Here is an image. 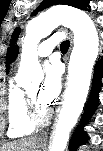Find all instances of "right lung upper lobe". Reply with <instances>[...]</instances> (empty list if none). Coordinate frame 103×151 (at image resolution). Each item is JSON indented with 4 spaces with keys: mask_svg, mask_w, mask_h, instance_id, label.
Here are the masks:
<instances>
[{
    "mask_svg": "<svg viewBox=\"0 0 103 151\" xmlns=\"http://www.w3.org/2000/svg\"><path fill=\"white\" fill-rule=\"evenodd\" d=\"M20 34V28H16L15 31L12 34V40L10 41V47L8 48L7 51V56H6V70L7 72L9 71V64L11 61L15 60L17 55H18V46L15 45L14 40L17 39L18 35Z\"/></svg>",
    "mask_w": 103,
    "mask_h": 151,
    "instance_id": "cb5924a9",
    "label": "right lung upper lobe"
}]
</instances>
